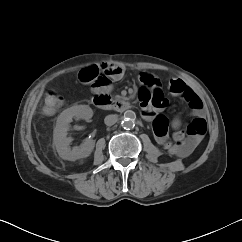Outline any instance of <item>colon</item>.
Here are the masks:
<instances>
[{
	"label": "colon",
	"mask_w": 242,
	"mask_h": 242,
	"mask_svg": "<svg viewBox=\"0 0 242 242\" xmlns=\"http://www.w3.org/2000/svg\"><path fill=\"white\" fill-rule=\"evenodd\" d=\"M79 79L86 84H93V86L105 85L110 82L111 77L107 71L100 69L97 66H88L83 68L79 73ZM142 88L140 91L141 97L144 100L154 103L155 106H159L163 100V93L160 89L157 79L152 75H144L141 78ZM172 92L180 94L189 106H196L199 103V98L190 89H182V85L179 82L173 83L171 87ZM63 102V98L55 91H48L44 97V110L47 113H52L58 109ZM194 128H188L189 134L199 133L205 134L206 128L201 122H195ZM154 131L157 134H161L166 130V124L163 119L158 120L154 125Z\"/></svg>",
	"instance_id": "5ec220e1"
}]
</instances>
